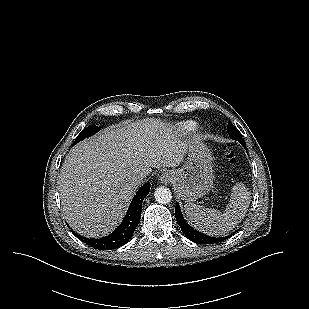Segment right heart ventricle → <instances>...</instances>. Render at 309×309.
Instances as JSON below:
<instances>
[{"label": "right heart ventricle", "instance_id": "1", "mask_svg": "<svg viewBox=\"0 0 309 309\" xmlns=\"http://www.w3.org/2000/svg\"><path fill=\"white\" fill-rule=\"evenodd\" d=\"M187 125H188V127H190V128H194V127H195V124H193V123H188Z\"/></svg>", "mask_w": 309, "mask_h": 309}]
</instances>
